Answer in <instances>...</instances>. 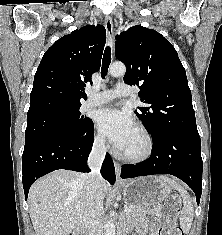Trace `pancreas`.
Returning a JSON list of instances; mask_svg holds the SVG:
<instances>
[{
    "mask_svg": "<svg viewBox=\"0 0 222 235\" xmlns=\"http://www.w3.org/2000/svg\"><path fill=\"white\" fill-rule=\"evenodd\" d=\"M147 213L155 215L157 217H162V210L160 207H154L151 210H141V211L132 208V211L128 212L126 215L131 223H136L142 220L144 215Z\"/></svg>",
    "mask_w": 222,
    "mask_h": 235,
    "instance_id": "obj_1",
    "label": "pancreas"
}]
</instances>
